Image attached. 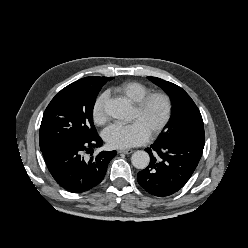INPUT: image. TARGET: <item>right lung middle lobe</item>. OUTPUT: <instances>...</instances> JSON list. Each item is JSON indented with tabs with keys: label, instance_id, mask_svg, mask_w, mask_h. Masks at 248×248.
Returning a JSON list of instances; mask_svg holds the SVG:
<instances>
[{
	"label": "right lung middle lobe",
	"instance_id": "1",
	"mask_svg": "<svg viewBox=\"0 0 248 248\" xmlns=\"http://www.w3.org/2000/svg\"><path fill=\"white\" fill-rule=\"evenodd\" d=\"M102 86L70 84L51 100L40 126L41 151L63 139L97 135L93 124V108Z\"/></svg>",
	"mask_w": 248,
	"mask_h": 248
}]
</instances>
